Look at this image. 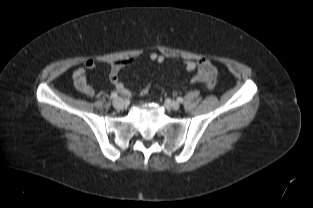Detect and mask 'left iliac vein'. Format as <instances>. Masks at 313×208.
Masks as SVG:
<instances>
[{"label": "left iliac vein", "instance_id": "obj_1", "mask_svg": "<svg viewBox=\"0 0 313 208\" xmlns=\"http://www.w3.org/2000/svg\"><path fill=\"white\" fill-rule=\"evenodd\" d=\"M167 105L173 110H178L180 107V104L177 101H169L167 102Z\"/></svg>", "mask_w": 313, "mask_h": 208}]
</instances>
